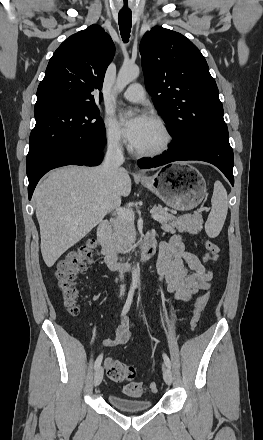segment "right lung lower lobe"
<instances>
[{"mask_svg": "<svg viewBox=\"0 0 263 440\" xmlns=\"http://www.w3.org/2000/svg\"><path fill=\"white\" fill-rule=\"evenodd\" d=\"M105 142L104 136L98 139L60 144L28 163L26 170L29 180V200L40 178L51 169L66 165H99L102 161Z\"/></svg>", "mask_w": 263, "mask_h": 440, "instance_id": "98d812e1", "label": "right lung lower lobe"}]
</instances>
